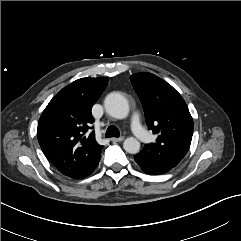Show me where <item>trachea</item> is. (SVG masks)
Listing matches in <instances>:
<instances>
[{"label": "trachea", "instance_id": "obj_1", "mask_svg": "<svg viewBox=\"0 0 241 241\" xmlns=\"http://www.w3.org/2000/svg\"><path fill=\"white\" fill-rule=\"evenodd\" d=\"M119 136H120V132L114 125H111L107 128V131L105 133L106 138H111V137L118 138Z\"/></svg>", "mask_w": 241, "mask_h": 241}]
</instances>
